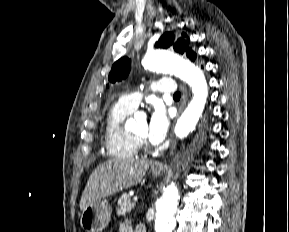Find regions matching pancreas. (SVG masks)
Wrapping results in <instances>:
<instances>
[{
	"instance_id": "cf45deb5",
	"label": "pancreas",
	"mask_w": 289,
	"mask_h": 232,
	"mask_svg": "<svg viewBox=\"0 0 289 232\" xmlns=\"http://www.w3.org/2000/svg\"><path fill=\"white\" fill-rule=\"evenodd\" d=\"M135 203L131 202L130 196L125 194L118 200V216H125L126 213H130L134 209Z\"/></svg>"
}]
</instances>
